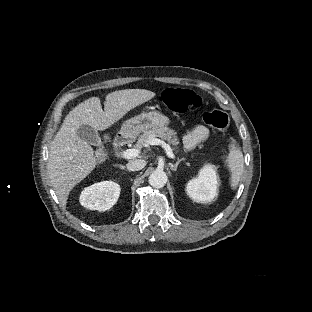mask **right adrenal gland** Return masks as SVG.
<instances>
[{"label": "right adrenal gland", "instance_id": "obj_1", "mask_svg": "<svg viewBox=\"0 0 312 312\" xmlns=\"http://www.w3.org/2000/svg\"><path fill=\"white\" fill-rule=\"evenodd\" d=\"M120 168H121L122 170L129 171V170H128V169H126V167H125V166H123V165H120Z\"/></svg>", "mask_w": 312, "mask_h": 312}]
</instances>
